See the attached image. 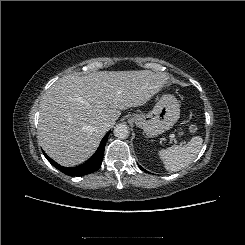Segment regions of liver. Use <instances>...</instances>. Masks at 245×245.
Returning a JSON list of instances; mask_svg holds the SVG:
<instances>
[{"label": "liver", "mask_w": 245, "mask_h": 245, "mask_svg": "<svg viewBox=\"0 0 245 245\" xmlns=\"http://www.w3.org/2000/svg\"><path fill=\"white\" fill-rule=\"evenodd\" d=\"M167 73L99 71L57 80L40 102L38 138L43 150L63 166H75L97 150L106 120L120 110L146 104L168 86Z\"/></svg>", "instance_id": "obj_1"}]
</instances>
